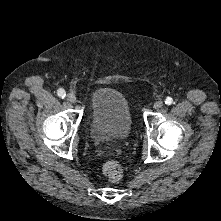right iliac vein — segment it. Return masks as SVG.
<instances>
[{
  "mask_svg": "<svg viewBox=\"0 0 221 221\" xmlns=\"http://www.w3.org/2000/svg\"><path fill=\"white\" fill-rule=\"evenodd\" d=\"M66 99L70 103H75L76 102V96L73 93H68L66 96Z\"/></svg>",
  "mask_w": 221,
  "mask_h": 221,
  "instance_id": "right-iliac-vein-1",
  "label": "right iliac vein"
}]
</instances>
